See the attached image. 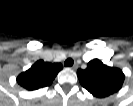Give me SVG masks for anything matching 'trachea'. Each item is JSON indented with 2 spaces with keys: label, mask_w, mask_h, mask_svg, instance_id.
Here are the masks:
<instances>
[{
  "label": "trachea",
  "mask_w": 133,
  "mask_h": 106,
  "mask_svg": "<svg viewBox=\"0 0 133 106\" xmlns=\"http://www.w3.org/2000/svg\"><path fill=\"white\" fill-rule=\"evenodd\" d=\"M74 64V61L71 58H68L65 62H64V66L66 67H71Z\"/></svg>",
  "instance_id": "trachea-1"
}]
</instances>
